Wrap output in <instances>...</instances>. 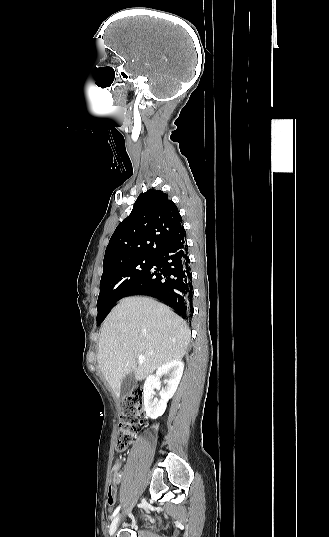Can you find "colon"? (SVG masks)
<instances>
[{
    "instance_id": "5ec220e1",
    "label": "colon",
    "mask_w": 329,
    "mask_h": 537,
    "mask_svg": "<svg viewBox=\"0 0 329 537\" xmlns=\"http://www.w3.org/2000/svg\"><path fill=\"white\" fill-rule=\"evenodd\" d=\"M144 393L142 388L136 387L125 396L121 415L120 429L115 438V449L124 452L131 444L140 423V413L143 407ZM115 484V482H113ZM114 492V485L110 486L109 495Z\"/></svg>"
}]
</instances>
